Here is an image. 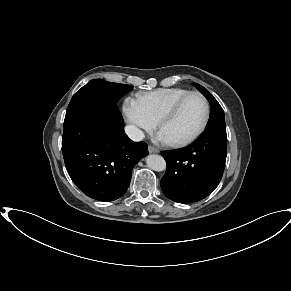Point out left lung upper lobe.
<instances>
[{
  "label": "left lung upper lobe",
  "mask_w": 291,
  "mask_h": 291,
  "mask_svg": "<svg viewBox=\"0 0 291 291\" xmlns=\"http://www.w3.org/2000/svg\"><path fill=\"white\" fill-rule=\"evenodd\" d=\"M193 85L207 98L210 103L211 113L210 119L206 126V129L211 128H226L224 111L217 100L211 95V93L203 86L193 83Z\"/></svg>",
  "instance_id": "obj_1"
}]
</instances>
